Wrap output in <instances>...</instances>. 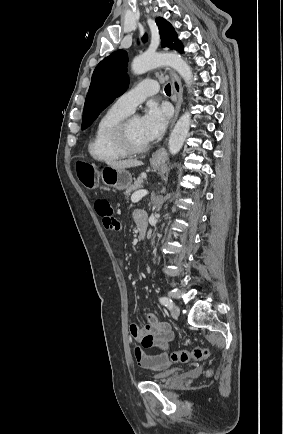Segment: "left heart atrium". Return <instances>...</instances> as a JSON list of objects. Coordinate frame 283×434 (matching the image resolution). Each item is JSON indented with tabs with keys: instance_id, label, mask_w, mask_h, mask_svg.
<instances>
[{
	"instance_id": "obj_1",
	"label": "left heart atrium",
	"mask_w": 283,
	"mask_h": 434,
	"mask_svg": "<svg viewBox=\"0 0 283 434\" xmlns=\"http://www.w3.org/2000/svg\"><path fill=\"white\" fill-rule=\"evenodd\" d=\"M170 111L165 106L152 104L141 118L142 135L147 142L159 138L167 126Z\"/></svg>"
}]
</instances>
